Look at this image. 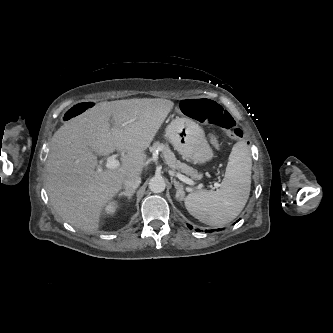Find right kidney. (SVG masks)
Returning a JSON list of instances; mask_svg holds the SVG:
<instances>
[{
  "label": "right kidney",
  "mask_w": 333,
  "mask_h": 333,
  "mask_svg": "<svg viewBox=\"0 0 333 333\" xmlns=\"http://www.w3.org/2000/svg\"><path fill=\"white\" fill-rule=\"evenodd\" d=\"M117 207H118V205L116 203H110L106 207V213L107 214H113L116 211Z\"/></svg>",
  "instance_id": "ca27d5eb"
}]
</instances>
